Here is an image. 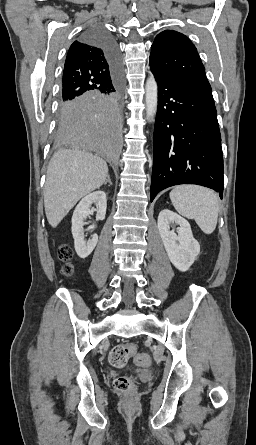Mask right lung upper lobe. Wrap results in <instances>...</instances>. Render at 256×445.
I'll return each instance as SVG.
<instances>
[{
    "instance_id": "obj_1",
    "label": "right lung upper lobe",
    "mask_w": 256,
    "mask_h": 445,
    "mask_svg": "<svg viewBox=\"0 0 256 445\" xmlns=\"http://www.w3.org/2000/svg\"><path fill=\"white\" fill-rule=\"evenodd\" d=\"M115 74L105 52L82 38L69 48L61 99L70 100L110 88Z\"/></svg>"
}]
</instances>
